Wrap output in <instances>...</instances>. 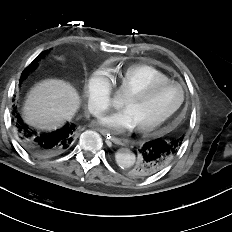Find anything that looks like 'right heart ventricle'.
<instances>
[{
  "instance_id": "e07e8e85",
  "label": "right heart ventricle",
  "mask_w": 232,
  "mask_h": 232,
  "mask_svg": "<svg viewBox=\"0 0 232 232\" xmlns=\"http://www.w3.org/2000/svg\"><path fill=\"white\" fill-rule=\"evenodd\" d=\"M106 74L111 87L117 92L127 95L155 82L166 81L169 78L160 70L146 64H134L123 69L106 66Z\"/></svg>"
}]
</instances>
